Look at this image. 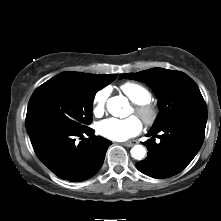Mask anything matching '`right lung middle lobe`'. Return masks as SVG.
<instances>
[{
    "instance_id": "right-lung-middle-lobe-1",
    "label": "right lung middle lobe",
    "mask_w": 221,
    "mask_h": 221,
    "mask_svg": "<svg viewBox=\"0 0 221 221\" xmlns=\"http://www.w3.org/2000/svg\"><path fill=\"white\" fill-rule=\"evenodd\" d=\"M105 85L59 74L39 86L32 94L26 115V128L55 124L77 131L89 130L92 104Z\"/></svg>"
}]
</instances>
